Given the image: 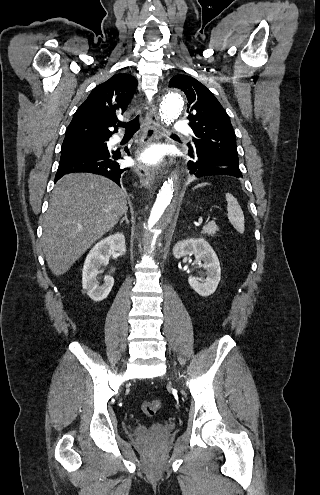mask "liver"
<instances>
[{
	"instance_id": "1",
	"label": "liver",
	"mask_w": 320,
	"mask_h": 495,
	"mask_svg": "<svg viewBox=\"0 0 320 495\" xmlns=\"http://www.w3.org/2000/svg\"><path fill=\"white\" fill-rule=\"evenodd\" d=\"M127 210L125 191L112 181L85 173L63 176L43 219L42 247L52 273H66Z\"/></svg>"
}]
</instances>
